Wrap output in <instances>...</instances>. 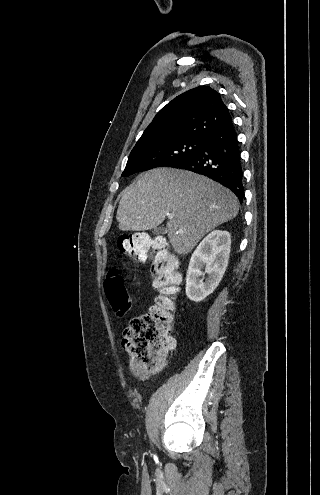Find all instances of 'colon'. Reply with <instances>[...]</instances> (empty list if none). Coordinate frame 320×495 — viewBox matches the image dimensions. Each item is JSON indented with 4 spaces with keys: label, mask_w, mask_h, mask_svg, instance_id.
<instances>
[{
    "label": "colon",
    "mask_w": 320,
    "mask_h": 495,
    "mask_svg": "<svg viewBox=\"0 0 320 495\" xmlns=\"http://www.w3.org/2000/svg\"><path fill=\"white\" fill-rule=\"evenodd\" d=\"M117 247L136 262L151 261L153 287L161 294L148 313L133 318L123 332L122 346L129 355L130 369L142 380L166 366L169 352L175 346L169 325L181 278L177 260L164 239L136 232L120 236ZM104 291L114 312L119 316L126 314L131 300L117 269L107 273Z\"/></svg>",
    "instance_id": "1"
}]
</instances>
